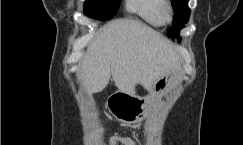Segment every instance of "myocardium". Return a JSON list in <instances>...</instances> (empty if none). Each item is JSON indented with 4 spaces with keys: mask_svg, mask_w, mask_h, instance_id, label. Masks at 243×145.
<instances>
[{
    "mask_svg": "<svg viewBox=\"0 0 243 145\" xmlns=\"http://www.w3.org/2000/svg\"><path fill=\"white\" fill-rule=\"evenodd\" d=\"M161 15L165 22H171L173 19V10L168 0H163Z\"/></svg>",
    "mask_w": 243,
    "mask_h": 145,
    "instance_id": "obj_1",
    "label": "myocardium"
}]
</instances>
